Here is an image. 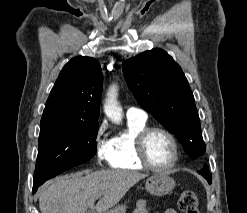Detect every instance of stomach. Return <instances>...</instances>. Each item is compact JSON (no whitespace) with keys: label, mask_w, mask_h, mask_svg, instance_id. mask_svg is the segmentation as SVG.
Here are the masks:
<instances>
[{"label":"stomach","mask_w":247,"mask_h":213,"mask_svg":"<svg viewBox=\"0 0 247 213\" xmlns=\"http://www.w3.org/2000/svg\"><path fill=\"white\" fill-rule=\"evenodd\" d=\"M146 190L154 196H164L175 187V181L164 173H157L146 180ZM104 213H126V206L121 204L112 207Z\"/></svg>","instance_id":"0dacf381"}]
</instances>
